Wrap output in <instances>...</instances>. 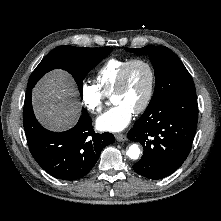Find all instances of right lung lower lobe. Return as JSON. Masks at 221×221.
Instances as JSON below:
<instances>
[{"label": "right lung lower lobe", "instance_id": "1", "mask_svg": "<svg viewBox=\"0 0 221 221\" xmlns=\"http://www.w3.org/2000/svg\"><path fill=\"white\" fill-rule=\"evenodd\" d=\"M28 87L23 109V126L30 152L37 163L51 176L77 180L87 175L96 164L102 149L114 142L111 133L97 134L92 120L82 108L78 123L64 132H52L35 118Z\"/></svg>", "mask_w": 221, "mask_h": 221}]
</instances>
